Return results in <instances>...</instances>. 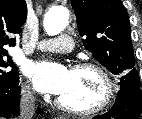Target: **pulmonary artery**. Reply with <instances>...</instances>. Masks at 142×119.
<instances>
[{
  "label": "pulmonary artery",
  "instance_id": "obj_1",
  "mask_svg": "<svg viewBox=\"0 0 142 119\" xmlns=\"http://www.w3.org/2000/svg\"><path fill=\"white\" fill-rule=\"evenodd\" d=\"M37 48L42 51L67 53L73 49V41L68 35H61L56 38L42 40Z\"/></svg>",
  "mask_w": 142,
  "mask_h": 119
}]
</instances>
